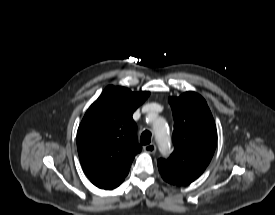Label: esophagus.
Wrapping results in <instances>:
<instances>
[{
	"label": "esophagus",
	"mask_w": 275,
	"mask_h": 215,
	"mask_svg": "<svg viewBox=\"0 0 275 215\" xmlns=\"http://www.w3.org/2000/svg\"><path fill=\"white\" fill-rule=\"evenodd\" d=\"M143 150H144L146 153L153 154V153H155V151H156V146H155V144L151 143V144L145 145V146L143 147Z\"/></svg>",
	"instance_id": "esophagus-1"
}]
</instances>
